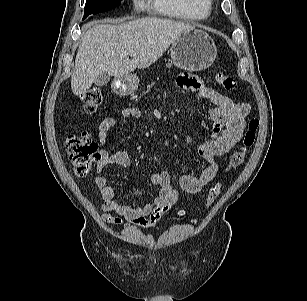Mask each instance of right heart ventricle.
<instances>
[{
	"label": "right heart ventricle",
	"instance_id": "1",
	"mask_svg": "<svg viewBox=\"0 0 307 301\" xmlns=\"http://www.w3.org/2000/svg\"><path fill=\"white\" fill-rule=\"evenodd\" d=\"M146 6L161 15L185 20L198 21L210 14L212 0H144Z\"/></svg>",
	"mask_w": 307,
	"mask_h": 301
}]
</instances>
